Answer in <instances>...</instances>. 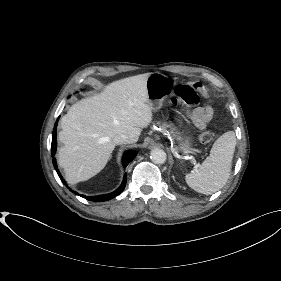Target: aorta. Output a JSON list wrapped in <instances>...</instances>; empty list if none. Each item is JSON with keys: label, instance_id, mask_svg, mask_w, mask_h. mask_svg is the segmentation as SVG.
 Wrapping results in <instances>:
<instances>
[{"label": "aorta", "instance_id": "1", "mask_svg": "<svg viewBox=\"0 0 281 281\" xmlns=\"http://www.w3.org/2000/svg\"><path fill=\"white\" fill-rule=\"evenodd\" d=\"M150 158L156 164H163L166 162L167 155L164 150L156 148L150 152Z\"/></svg>", "mask_w": 281, "mask_h": 281}]
</instances>
